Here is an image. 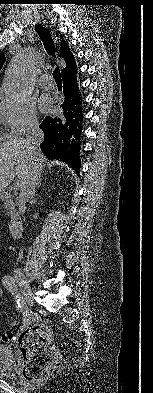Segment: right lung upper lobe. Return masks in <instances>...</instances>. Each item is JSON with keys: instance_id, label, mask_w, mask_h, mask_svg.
Masks as SVG:
<instances>
[{"instance_id": "right-lung-upper-lobe-1", "label": "right lung upper lobe", "mask_w": 153, "mask_h": 393, "mask_svg": "<svg viewBox=\"0 0 153 393\" xmlns=\"http://www.w3.org/2000/svg\"><path fill=\"white\" fill-rule=\"evenodd\" d=\"M60 56L63 57L64 60L66 61V67L62 70V74H65L69 71L76 69L73 55L68 49V45L65 43V41L63 42V39L60 47ZM4 62H5V56L2 53H0V69Z\"/></svg>"}]
</instances>
